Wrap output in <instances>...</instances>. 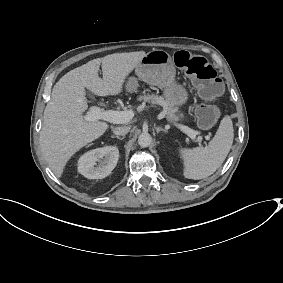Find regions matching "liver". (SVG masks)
<instances>
[{
    "label": "liver",
    "instance_id": "1",
    "mask_svg": "<svg viewBox=\"0 0 283 283\" xmlns=\"http://www.w3.org/2000/svg\"><path fill=\"white\" fill-rule=\"evenodd\" d=\"M144 56V51H138L93 59L69 71L54 85L44 110L40 147L56 176H61L72 155L108 128L105 122L84 119L82 114L88 108L85 88L98 96L119 94L126 76ZM100 64L103 78L98 76Z\"/></svg>",
    "mask_w": 283,
    "mask_h": 283
}]
</instances>
